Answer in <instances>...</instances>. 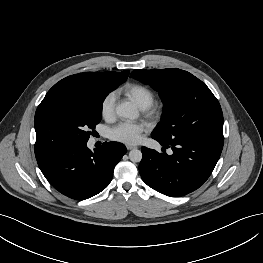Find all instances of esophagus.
Returning a JSON list of instances; mask_svg holds the SVG:
<instances>
[{
	"label": "esophagus",
	"mask_w": 263,
	"mask_h": 263,
	"mask_svg": "<svg viewBox=\"0 0 263 263\" xmlns=\"http://www.w3.org/2000/svg\"><path fill=\"white\" fill-rule=\"evenodd\" d=\"M126 148L128 149V150H132V149H135V148H137L136 146H133V145H126Z\"/></svg>",
	"instance_id": "34e87169"
}]
</instances>
